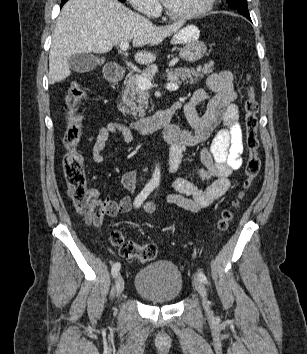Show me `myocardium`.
Here are the masks:
<instances>
[{
    "label": "myocardium",
    "mask_w": 307,
    "mask_h": 354,
    "mask_svg": "<svg viewBox=\"0 0 307 354\" xmlns=\"http://www.w3.org/2000/svg\"><path fill=\"white\" fill-rule=\"evenodd\" d=\"M215 3H216V0H206L205 4L200 9H198L194 12L186 13V14H176V13L172 12L167 7L165 2L163 3V6H164L165 14L171 20L187 21V20L196 19V18L206 15L208 12H210L213 9Z\"/></svg>",
    "instance_id": "myocardium-1"
}]
</instances>
